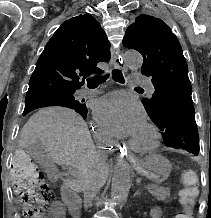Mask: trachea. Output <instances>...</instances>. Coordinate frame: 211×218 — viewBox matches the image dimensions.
I'll use <instances>...</instances> for the list:
<instances>
[{"instance_id":"3493384b","label":"trachea","mask_w":211,"mask_h":218,"mask_svg":"<svg viewBox=\"0 0 211 218\" xmlns=\"http://www.w3.org/2000/svg\"><path fill=\"white\" fill-rule=\"evenodd\" d=\"M108 76H109V74L95 75V77L88 78L87 83L101 84V83H104L106 81ZM112 78H113V80L115 82H118V83H124L125 82L122 72L120 70L116 69V68H115V70H112ZM137 88L140 89L139 87H137Z\"/></svg>"}]
</instances>
